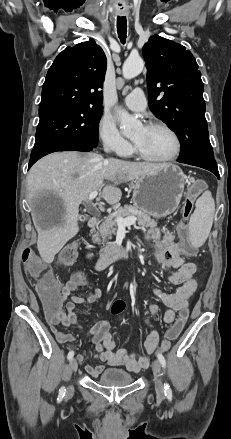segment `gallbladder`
I'll use <instances>...</instances> for the list:
<instances>
[{
	"instance_id": "obj_1",
	"label": "gallbladder",
	"mask_w": 231,
	"mask_h": 439,
	"mask_svg": "<svg viewBox=\"0 0 231 439\" xmlns=\"http://www.w3.org/2000/svg\"><path fill=\"white\" fill-rule=\"evenodd\" d=\"M82 217H83V219H81V220H83V221L86 220V217H85V216H82Z\"/></svg>"
}]
</instances>
